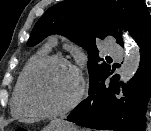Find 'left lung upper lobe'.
Here are the masks:
<instances>
[{"label":"left lung upper lobe","instance_id":"left-lung-upper-lobe-1","mask_svg":"<svg viewBox=\"0 0 151 131\" xmlns=\"http://www.w3.org/2000/svg\"><path fill=\"white\" fill-rule=\"evenodd\" d=\"M143 0H65L50 7L35 24L28 46L52 34L69 37L88 51L89 87L110 70L99 57L96 41L108 35L123 45L118 27L130 31Z\"/></svg>","mask_w":151,"mask_h":131}]
</instances>
